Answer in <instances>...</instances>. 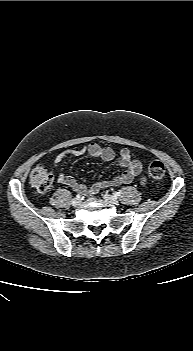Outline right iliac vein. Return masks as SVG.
I'll list each match as a JSON object with an SVG mask.
<instances>
[{"mask_svg":"<svg viewBox=\"0 0 193 351\" xmlns=\"http://www.w3.org/2000/svg\"><path fill=\"white\" fill-rule=\"evenodd\" d=\"M72 206L73 207H77L81 204V199H78V198H74L71 202Z\"/></svg>","mask_w":193,"mask_h":351,"instance_id":"63e3f726","label":"right iliac vein"}]
</instances>
